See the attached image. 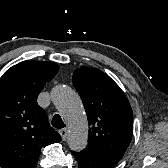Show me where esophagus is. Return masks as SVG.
<instances>
[{
  "label": "esophagus",
  "mask_w": 168,
  "mask_h": 168,
  "mask_svg": "<svg viewBox=\"0 0 168 168\" xmlns=\"http://www.w3.org/2000/svg\"><path fill=\"white\" fill-rule=\"evenodd\" d=\"M59 134L61 135L62 140L65 141L67 139V136H68V129L67 128L60 129Z\"/></svg>",
  "instance_id": "1"
}]
</instances>
